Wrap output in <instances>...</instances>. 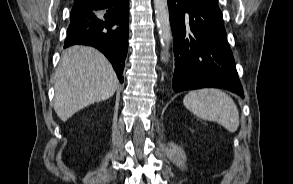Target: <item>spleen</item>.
Masks as SVG:
<instances>
[{
	"instance_id": "obj_1",
	"label": "spleen",
	"mask_w": 293,
	"mask_h": 184,
	"mask_svg": "<svg viewBox=\"0 0 293 184\" xmlns=\"http://www.w3.org/2000/svg\"><path fill=\"white\" fill-rule=\"evenodd\" d=\"M185 107L197 117L221 124L230 132L239 127V111L224 91L205 88L190 91L183 99Z\"/></svg>"
}]
</instances>
